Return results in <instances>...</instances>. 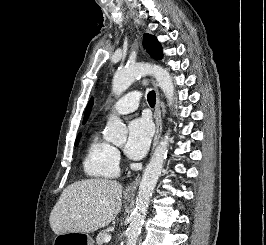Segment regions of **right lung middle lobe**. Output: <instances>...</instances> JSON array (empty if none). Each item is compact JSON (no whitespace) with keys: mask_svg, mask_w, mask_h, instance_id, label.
Segmentation results:
<instances>
[{"mask_svg":"<svg viewBox=\"0 0 266 245\" xmlns=\"http://www.w3.org/2000/svg\"><path fill=\"white\" fill-rule=\"evenodd\" d=\"M81 137V133L77 136L76 141H75V146L79 143Z\"/></svg>","mask_w":266,"mask_h":245,"instance_id":"1","label":"right lung middle lobe"}]
</instances>
